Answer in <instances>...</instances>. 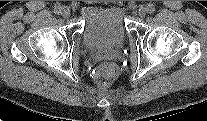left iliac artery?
Masks as SVG:
<instances>
[{"instance_id":"44dca946","label":"left iliac artery","mask_w":207,"mask_h":121,"mask_svg":"<svg viewBox=\"0 0 207 121\" xmlns=\"http://www.w3.org/2000/svg\"><path fill=\"white\" fill-rule=\"evenodd\" d=\"M147 11H148V13H154V11H155V6L154 5H152V4H149L148 6H147Z\"/></svg>"}]
</instances>
